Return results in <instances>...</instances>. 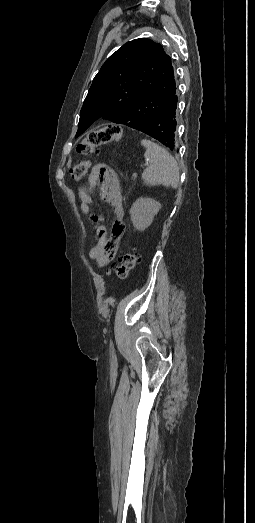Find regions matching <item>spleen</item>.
<instances>
[{"label": "spleen", "instance_id": "3e777b00", "mask_svg": "<svg viewBox=\"0 0 255 523\" xmlns=\"http://www.w3.org/2000/svg\"><path fill=\"white\" fill-rule=\"evenodd\" d=\"M142 146L146 148L144 154L148 168L142 174L143 182L146 186H172L178 188L179 184V168L173 156L150 140H141Z\"/></svg>", "mask_w": 255, "mask_h": 523}]
</instances>
